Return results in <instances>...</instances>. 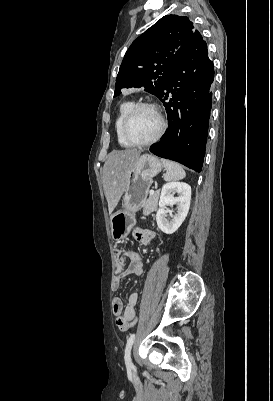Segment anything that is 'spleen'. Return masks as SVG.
<instances>
[{"label": "spleen", "instance_id": "1", "mask_svg": "<svg viewBox=\"0 0 273 401\" xmlns=\"http://www.w3.org/2000/svg\"><path fill=\"white\" fill-rule=\"evenodd\" d=\"M163 166H165L167 172L164 174V180H180L186 176L185 170L178 162H173V160H167V158H161Z\"/></svg>", "mask_w": 273, "mask_h": 401}]
</instances>
